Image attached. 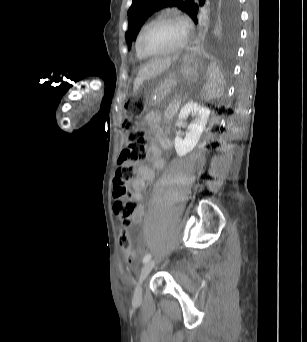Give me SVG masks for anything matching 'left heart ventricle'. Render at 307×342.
I'll use <instances>...</instances> for the list:
<instances>
[{"instance_id":"obj_1","label":"left heart ventricle","mask_w":307,"mask_h":342,"mask_svg":"<svg viewBox=\"0 0 307 342\" xmlns=\"http://www.w3.org/2000/svg\"><path fill=\"white\" fill-rule=\"evenodd\" d=\"M182 38L180 28L172 22L163 21L154 25L143 40V49L154 55L175 47Z\"/></svg>"}]
</instances>
